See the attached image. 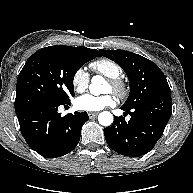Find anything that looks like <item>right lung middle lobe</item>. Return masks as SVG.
Masks as SVG:
<instances>
[{"mask_svg": "<svg viewBox=\"0 0 193 193\" xmlns=\"http://www.w3.org/2000/svg\"><path fill=\"white\" fill-rule=\"evenodd\" d=\"M93 56L61 49H40L25 63L17 85L15 111L44 100L69 103L74 96L73 79L77 70Z\"/></svg>", "mask_w": 193, "mask_h": 193, "instance_id": "dd1d6c3e", "label": "right lung middle lobe"}]
</instances>
